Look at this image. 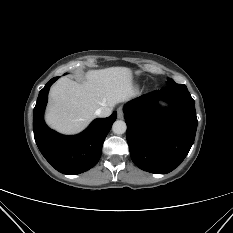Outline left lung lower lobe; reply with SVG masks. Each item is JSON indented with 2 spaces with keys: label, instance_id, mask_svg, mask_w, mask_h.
Instances as JSON below:
<instances>
[{
  "label": "left lung lower lobe",
  "instance_id": "1",
  "mask_svg": "<svg viewBox=\"0 0 233 233\" xmlns=\"http://www.w3.org/2000/svg\"><path fill=\"white\" fill-rule=\"evenodd\" d=\"M158 99L170 107L156 111ZM132 161L142 170L165 174L187 156L195 139V103L185 85L174 83L144 94L124 106Z\"/></svg>",
  "mask_w": 233,
  "mask_h": 233
}]
</instances>
